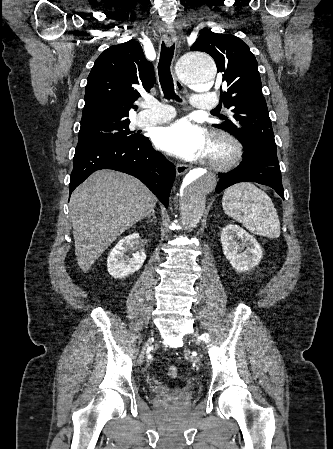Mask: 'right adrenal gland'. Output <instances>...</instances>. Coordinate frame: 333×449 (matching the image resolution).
Listing matches in <instances>:
<instances>
[{
	"instance_id": "obj_1",
	"label": "right adrenal gland",
	"mask_w": 333,
	"mask_h": 449,
	"mask_svg": "<svg viewBox=\"0 0 333 449\" xmlns=\"http://www.w3.org/2000/svg\"><path fill=\"white\" fill-rule=\"evenodd\" d=\"M151 216L153 219H157V217L155 215V210H153L152 213L148 217H151Z\"/></svg>"
}]
</instances>
